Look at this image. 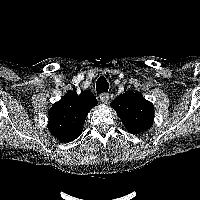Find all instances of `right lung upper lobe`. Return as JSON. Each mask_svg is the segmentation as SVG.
Wrapping results in <instances>:
<instances>
[{
  "mask_svg": "<svg viewBox=\"0 0 200 200\" xmlns=\"http://www.w3.org/2000/svg\"><path fill=\"white\" fill-rule=\"evenodd\" d=\"M97 104L90 91L67 93L49 111L48 128L63 142L75 140L82 132L89 111Z\"/></svg>",
  "mask_w": 200,
  "mask_h": 200,
  "instance_id": "obj_1",
  "label": "right lung upper lobe"
}]
</instances>
